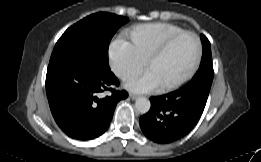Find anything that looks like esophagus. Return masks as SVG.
Listing matches in <instances>:
<instances>
[{"label": "esophagus", "mask_w": 261, "mask_h": 162, "mask_svg": "<svg viewBox=\"0 0 261 162\" xmlns=\"http://www.w3.org/2000/svg\"><path fill=\"white\" fill-rule=\"evenodd\" d=\"M129 98H131L132 100H135V99H137L138 98V96L137 95H135V94H129Z\"/></svg>", "instance_id": "obj_1"}]
</instances>
